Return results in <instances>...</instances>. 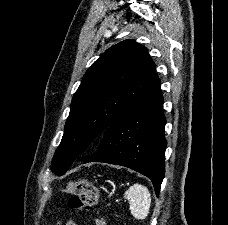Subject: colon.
<instances>
[{
  "label": "colon",
  "instance_id": "obj_1",
  "mask_svg": "<svg viewBox=\"0 0 228 225\" xmlns=\"http://www.w3.org/2000/svg\"><path fill=\"white\" fill-rule=\"evenodd\" d=\"M63 192L70 196L69 205L75 212L90 213L98 197L96 185L87 179L68 182ZM92 220L94 225H105V221L99 216H92Z\"/></svg>",
  "mask_w": 228,
  "mask_h": 225
}]
</instances>
